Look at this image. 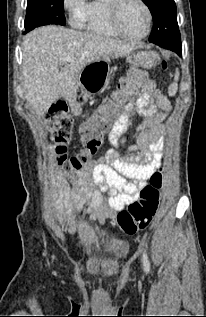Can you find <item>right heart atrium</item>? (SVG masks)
Returning <instances> with one entry per match:
<instances>
[{
  "instance_id": "right-heart-atrium-1",
  "label": "right heart atrium",
  "mask_w": 206,
  "mask_h": 317,
  "mask_svg": "<svg viewBox=\"0 0 206 317\" xmlns=\"http://www.w3.org/2000/svg\"><path fill=\"white\" fill-rule=\"evenodd\" d=\"M62 5L70 24L75 27L81 26L86 14V0H63Z\"/></svg>"
}]
</instances>
